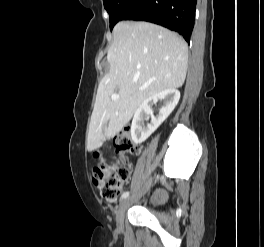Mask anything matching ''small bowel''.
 <instances>
[{"mask_svg":"<svg viewBox=\"0 0 264 247\" xmlns=\"http://www.w3.org/2000/svg\"><path fill=\"white\" fill-rule=\"evenodd\" d=\"M157 197H158V198H163V194H162V193H158V194H157Z\"/></svg>","mask_w":264,"mask_h":247,"instance_id":"1","label":"small bowel"}]
</instances>
